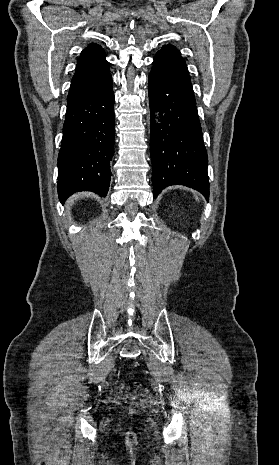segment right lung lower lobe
Masks as SVG:
<instances>
[{
    "mask_svg": "<svg viewBox=\"0 0 279 465\" xmlns=\"http://www.w3.org/2000/svg\"><path fill=\"white\" fill-rule=\"evenodd\" d=\"M114 150V94L109 74L88 94L67 105L58 155V196L78 191L105 197Z\"/></svg>",
    "mask_w": 279,
    "mask_h": 465,
    "instance_id": "98d812e1",
    "label": "right lung lower lobe"
}]
</instances>
